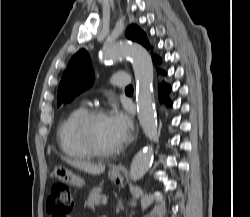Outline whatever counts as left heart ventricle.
<instances>
[{
	"mask_svg": "<svg viewBox=\"0 0 250 217\" xmlns=\"http://www.w3.org/2000/svg\"><path fill=\"white\" fill-rule=\"evenodd\" d=\"M92 135L96 143L102 148L112 149L120 146L106 115L94 121Z\"/></svg>",
	"mask_w": 250,
	"mask_h": 217,
	"instance_id": "left-heart-ventricle-1",
	"label": "left heart ventricle"
}]
</instances>
